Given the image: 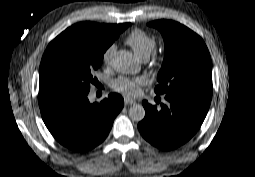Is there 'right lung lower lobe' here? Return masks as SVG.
Segmentation results:
<instances>
[{"label":"right lung lower lobe","instance_id":"98d812e1","mask_svg":"<svg viewBox=\"0 0 255 177\" xmlns=\"http://www.w3.org/2000/svg\"><path fill=\"white\" fill-rule=\"evenodd\" d=\"M88 92L49 90L38 95L48 130L60 144L77 152L88 151L103 142L124 105L123 98L116 93L91 104Z\"/></svg>","mask_w":255,"mask_h":177}]
</instances>
